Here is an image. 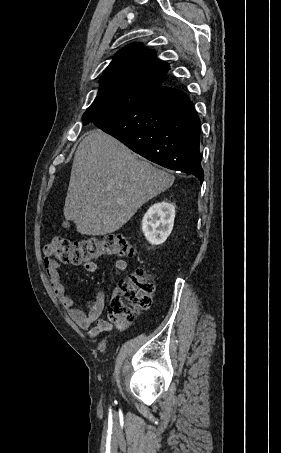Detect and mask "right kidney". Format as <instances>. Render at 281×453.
<instances>
[{"instance_id": "1", "label": "right kidney", "mask_w": 281, "mask_h": 453, "mask_svg": "<svg viewBox=\"0 0 281 453\" xmlns=\"http://www.w3.org/2000/svg\"><path fill=\"white\" fill-rule=\"evenodd\" d=\"M175 206L172 202H155L142 220V231L151 245H162L169 237L174 224Z\"/></svg>"}]
</instances>
